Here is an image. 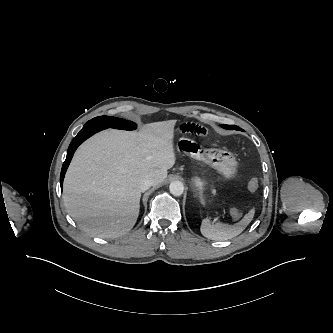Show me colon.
Here are the masks:
<instances>
[{
  "mask_svg": "<svg viewBox=\"0 0 333 333\" xmlns=\"http://www.w3.org/2000/svg\"><path fill=\"white\" fill-rule=\"evenodd\" d=\"M258 186V181L254 178L250 179L247 183V188L250 192H255L258 189ZM230 216L232 219L238 220L242 216V211L237 207H233L230 211Z\"/></svg>",
  "mask_w": 333,
  "mask_h": 333,
  "instance_id": "1",
  "label": "colon"
}]
</instances>
